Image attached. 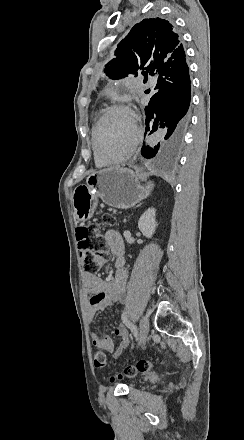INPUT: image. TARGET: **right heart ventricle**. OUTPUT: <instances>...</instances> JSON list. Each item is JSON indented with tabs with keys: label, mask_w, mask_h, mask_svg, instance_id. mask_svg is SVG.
<instances>
[{
	"label": "right heart ventricle",
	"mask_w": 244,
	"mask_h": 440,
	"mask_svg": "<svg viewBox=\"0 0 244 440\" xmlns=\"http://www.w3.org/2000/svg\"><path fill=\"white\" fill-rule=\"evenodd\" d=\"M97 122H101V118ZM97 122L93 125L92 131H91V144H92L93 148H95L94 147L93 139L95 138V132H97ZM97 148H99V147H97ZM95 161H96V164H97L98 167H105V166L108 165L107 162H104V161L98 159L97 157L95 158Z\"/></svg>",
	"instance_id": "1"
}]
</instances>
